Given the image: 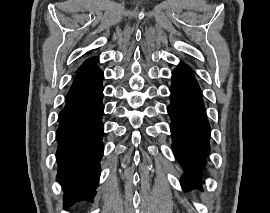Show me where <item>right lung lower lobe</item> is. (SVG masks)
Masks as SVG:
<instances>
[{
  "mask_svg": "<svg viewBox=\"0 0 270 213\" xmlns=\"http://www.w3.org/2000/svg\"><path fill=\"white\" fill-rule=\"evenodd\" d=\"M103 78L97 66L79 71L58 117L57 181L65 190V209L78 201H92L99 183L104 150Z\"/></svg>",
  "mask_w": 270,
  "mask_h": 213,
  "instance_id": "1",
  "label": "right lung lower lobe"
}]
</instances>
